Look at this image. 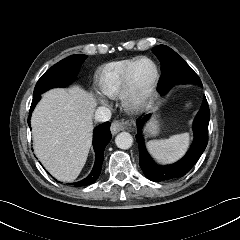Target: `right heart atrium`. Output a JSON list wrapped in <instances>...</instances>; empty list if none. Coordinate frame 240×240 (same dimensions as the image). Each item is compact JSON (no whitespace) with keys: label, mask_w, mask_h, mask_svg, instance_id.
Wrapping results in <instances>:
<instances>
[{"label":"right heart atrium","mask_w":240,"mask_h":240,"mask_svg":"<svg viewBox=\"0 0 240 240\" xmlns=\"http://www.w3.org/2000/svg\"><path fill=\"white\" fill-rule=\"evenodd\" d=\"M97 99H98V101L100 103H103V104L107 103V100L104 97L100 96V95L97 97Z\"/></svg>","instance_id":"obj_1"}]
</instances>
